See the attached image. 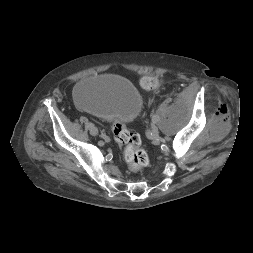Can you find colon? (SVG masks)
<instances>
[{"mask_svg":"<svg viewBox=\"0 0 253 253\" xmlns=\"http://www.w3.org/2000/svg\"><path fill=\"white\" fill-rule=\"evenodd\" d=\"M141 85L145 89H153L158 85V79L145 77L142 79ZM112 132L115 140L123 149V156L129 168L134 172L143 169L148 164V155L141 148L140 135L130 131L121 122H114Z\"/></svg>","mask_w":253,"mask_h":253,"instance_id":"5ec220e1","label":"colon"}]
</instances>
